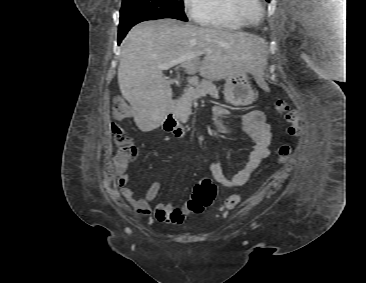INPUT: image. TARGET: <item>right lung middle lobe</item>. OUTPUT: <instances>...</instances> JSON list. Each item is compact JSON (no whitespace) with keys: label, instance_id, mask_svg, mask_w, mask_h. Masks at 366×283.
Returning <instances> with one entry per match:
<instances>
[{"label":"right lung middle lobe","instance_id":"obj_1","mask_svg":"<svg viewBox=\"0 0 366 283\" xmlns=\"http://www.w3.org/2000/svg\"><path fill=\"white\" fill-rule=\"evenodd\" d=\"M161 18L187 21L184 14L183 0H123L120 23Z\"/></svg>","mask_w":366,"mask_h":283}]
</instances>
